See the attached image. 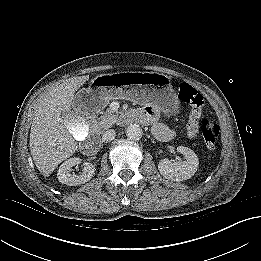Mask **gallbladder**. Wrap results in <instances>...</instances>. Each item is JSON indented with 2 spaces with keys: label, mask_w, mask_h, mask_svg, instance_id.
Wrapping results in <instances>:
<instances>
[{
  "label": "gallbladder",
  "mask_w": 261,
  "mask_h": 261,
  "mask_svg": "<svg viewBox=\"0 0 261 261\" xmlns=\"http://www.w3.org/2000/svg\"><path fill=\"white\" fill-rule=\"evenodd\" d=\"M63 122L70 131L72 137L77 141L85 140L90 134L88 124L76 116L68 114L64 117Z\"/></svg>",
  "instance_id": "bac80fb5"
}]
</instances>
